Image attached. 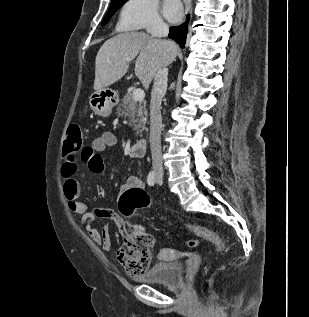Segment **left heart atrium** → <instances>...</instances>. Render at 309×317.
Masks as SVG:
<instances>
[{"label":"left heart atrium","instance_id":"left-heart-atrium-1","mask_svg":"<svg viewBox=\"0 0 309 317\" xmlns=\"http://www.w3.org/2000/svg\"><path fill=\"white\" fill-rule=\"evenodd\" d=\"M165 17L171 22H177L182 17V6L179 0H165L163 6Z\"/></svg>","mask_w":309,"mask_h":317}]
</instances>
